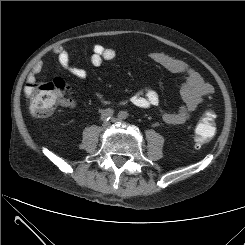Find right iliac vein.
Segmentation results:
<instances>
[{"label":"right iliac vein","mask_w":245,"mask_h":245,"mask_svg":"<svg viewBox=\"0 0 245 245\" xmlns=\"http://www.w3.org/2000/svg\"><path fill=\"white\" fill-rule=\"evenodd\" d=\"M110 127V123L109 122H104L102 125V130L105 131Z\"/></svg>","instance_id":"obj_1"}]
</instances>
